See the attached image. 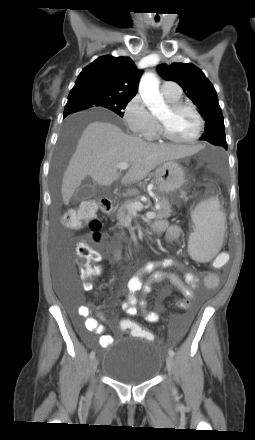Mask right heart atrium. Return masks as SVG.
Returning a JSON list of instances; mask_svg holds the SVG:
<instances>
[{
    "label": "right heart atrium",
    "mask_w": 255,
    "mask_h": 440,
    "mask_svg": "<svg viewBox=\"0 0 255 440\" xmlns=\"http://www.w3.org/2000/svg\"><path fill=\"white\" fill-rule=\"evenodd\" d=\"M128 129L140 137H153L158 131V124L146 108L139 95H135L126 105L123 115Z\"/></svg>",
    "instance_id": "1"
}]
</instances>
